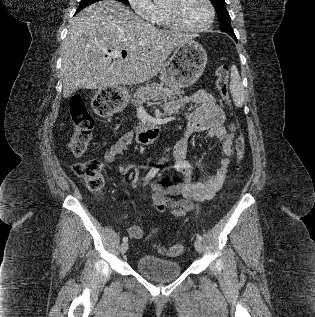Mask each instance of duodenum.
I'll return each instance as SVG.
<instances>
[{
    "label": "duodenum",
    "mask_w": 315,
    "mask_h": 317,
    "mask_svg": "<svg viewBox=\"0 0 315 317\" xmlns=\"http://www.w3.org/2000/svg\"><path fill=\"white\" fill-rule=\"evenodd\" d=\"M161 129L158 123H151L138 132L137 141L140 144H148L160 135Z\"/></svg>",
    "instance_id": "1"
}]
</instances>
